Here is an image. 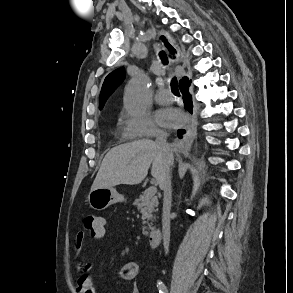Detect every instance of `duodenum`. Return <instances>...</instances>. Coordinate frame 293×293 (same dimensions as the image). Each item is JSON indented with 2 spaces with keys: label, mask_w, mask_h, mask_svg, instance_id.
<instances>
[{
  "label": "duodenum",
  "mask_w": 293,
  "mask_h": 293,
  "mask_svg": "<svg viewBox=\"0 0 293 293\" xmlns=\"http://www.w3.org/2000/svg\"><path fill=\"white\" fill-rule=\"evenodd\" d=\"M161 227L155 226L149 230V245L152 249H156L161 239Z\"/></svg>",
  "instance_id": "duodenum-1"
}]
</instances>
